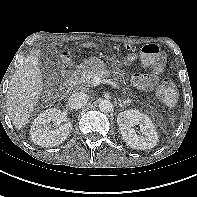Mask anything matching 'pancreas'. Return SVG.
I'll use <instances>...</instances> for the list:
<instances>
[{"label":"pancreas","instance_id":"obj_1","mask_svg":"<svg viewBox=\"0 0 197 197\" xmlns=\"http://www.w3.org/2000/svg\"><path fill=\"white\" fill-rule=\"evenodd\" d=\"M100 77L102 79L110 77L111 73L109 71L100 69V70H85L80 79L78 80L79 84H85L86 87L93 86V78Z\"/></svg>","mask_w":197,"mask_h":197}]
</instances>
